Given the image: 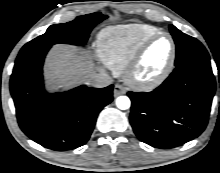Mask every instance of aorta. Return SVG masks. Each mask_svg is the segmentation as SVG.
<instances>
[{"label":"aorta","mask_w":220,"mask_h":173,"mask_svg":"<svg viewBox=\"0 0 220 173\" xmlns=\"http://www.w3.org/2000/svg\"><path fill=\"white\" fill-rule=\"evenodd\" d=\"M116 106L121 110H127L131 106V101L127 96H119L116 99Z\"/></svg>","instance_id":"762f6f07"}]
</instances>
